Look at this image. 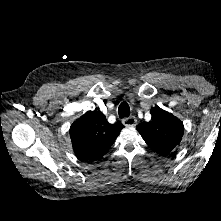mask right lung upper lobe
<instances>
[{"mask_svg":"<svg viewBox=\"0 0 221 221\" xmlns=\"http://www.w3.org/2000/svg\"><path fill=\"white\" fill-rule=\"evenodd\" d=\"M123 124H110L101 111H88L70 127L75 154L82 161L100 160L123 129Z\"/></svg>","mask_w":221,"mask_h":221,"instance_id":"1","label":"right lung upper lobe"}]
</instances>
